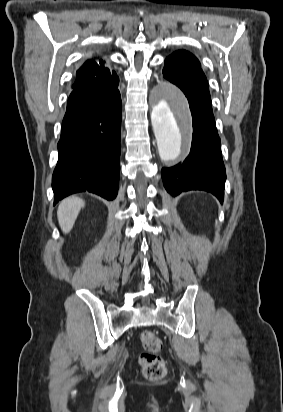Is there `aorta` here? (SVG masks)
I'll return each instance as SVG.
<instances>
[{
  "label": "aorta",
  "instance_id": "obj_1",
  "mask_svg": "<svg viewBox=\"0 0 283 412\" xmlns=\"http://www.w3.org/2000/svg\"><path fill=\"white\" fill-rule=\"evenodd\" d=\"M189 108L184 95L174 86H164L155 100L151 120L162 160H174L183 151L189 135Z\"/></svg>",
  "mask_w": 283,
  "mask_h": 412
}]
</instances>
